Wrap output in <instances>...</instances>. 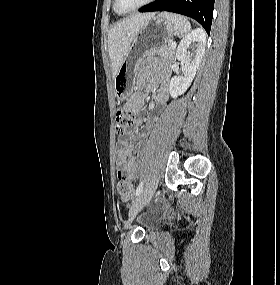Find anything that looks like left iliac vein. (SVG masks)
<instances>
[{"mask_svg": "<svg viewBox=\"0 0 280 285\" xmlns=\"http://www.w3.org/2000/svg\"><path fill=\"white\" fill-rule=\"evenodd\" d=\"M158 178H153L143 189V191L139 194L137 199L132 204L130 211H129V221L130 223L133 218L145 207V205L149 202L150 198L154 194L157 186H158Z\"/></svg>", "mask_w": 280, "mask_h": 285, "instance_id": "1", "label": "left iliac vein"}]
</instances>
